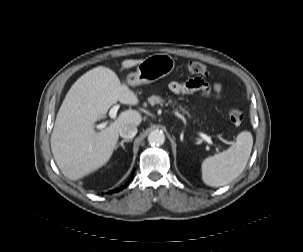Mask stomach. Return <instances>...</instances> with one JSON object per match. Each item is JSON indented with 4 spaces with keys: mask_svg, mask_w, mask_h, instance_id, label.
<instances>
[{
    "mask_svg": "<svg viewBox=\"0 0 303 252\" xmlns=\"http://www.w3.org/2000/svg\"><path fill=\"white\" fill-rule=\"evenodd\" d=\"M174 66L175 61L168 54L150 55L138 64L136 72L128 74L126 83L134 87L157 81L170 74Z\"/></svg>",
    "mask_w": 303,
    "mask_h": 252,
    "instance_id": "1",
    "label": "stomach"
}]
</instances>
